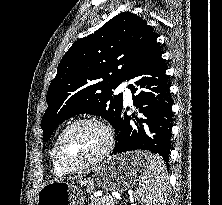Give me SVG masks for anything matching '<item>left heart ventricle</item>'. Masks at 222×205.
Segmentation results:
<instances>
[{"label": "left heart ventricle", "mask_w": 222, "mask_h": 205, "mask_svg": "<svg viewBox=\"0 0 222 205\" xmlns=\"http://www.w3.org/2000/svg\"><path fill=\"white\" fill-rule=\"evenodd\" d=\"M105 143L104 133L96 126L83 124L70 130L60 145L64 161L75 164L99 153Z\"/></svg>", "instance_id": "1"}]
</instances>
